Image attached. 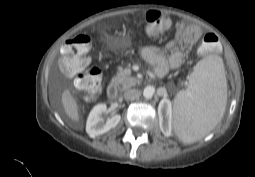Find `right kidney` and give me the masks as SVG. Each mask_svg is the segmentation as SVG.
Segmentation results:
<instances>
[{
	"mask_svg": "<svg viewBox=\"0 0 255 177\" xmlns=\"http://www.w3.org/2000/svg\"><path fill=\"white\" fill-rule=\"evenodd\" d=\"M107 110V106L104 103L97 104L90 112L87 123L86 132L87 134L94 138L98 135L108 132L110 129L117 126L121 116L118 114L112 115L107 119L106 122L103 121L102 115Z\"/></svg>",
	"mask_w": 255,
	"mask_h": 177,
	"instance_id": "right-kidney-1",
	"label": "right kidney"
}]
</instances>
